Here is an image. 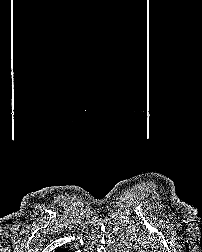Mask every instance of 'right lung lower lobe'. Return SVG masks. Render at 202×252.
I'll use <instances>...</instances> for the list:
<instances>
[{"instance_id": "1", "label": "right lung lower lobe", "mask_w": 202, "mask_h": 252, "mask_svg": "<svg viewBox=\"0 0 202 252\" xmlns=\"http://www.w3.org/2000/svg\"><path fill=\"white\" fill-rule=\"evenodd\" d=\"M55 252H70V251L65 248H57Z\"/></svg>"}]
</instances>
